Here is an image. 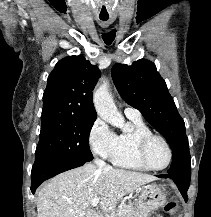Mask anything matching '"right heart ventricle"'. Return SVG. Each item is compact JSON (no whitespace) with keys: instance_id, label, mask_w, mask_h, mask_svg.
<instances>
[{"instance_id":"1","label":"right heart ventricle","mask_w":211,"mask_h":217,"mask_svg":"<svg viewBox=\"0 0 211 217\" xmlns=\"http://www.w3.org/2000/svg\"><path fill=\"white\" fill-rule=\"evenodd\" d=\"M133 129L123 132L117 136L115 151L111 157V162L118 167L145 171L147 168L141 163L137 146L139 139L150 134L151 130L140 117H128Z\"/></svg>"}]
</instances>
